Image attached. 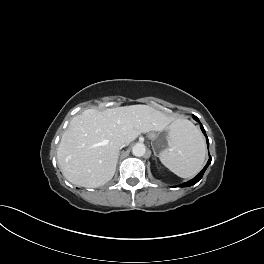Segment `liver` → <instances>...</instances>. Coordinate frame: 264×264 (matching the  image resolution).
Returning a JSON list of instances; mask_svg holds the SVG:
<instances>
[{"label": "liver", "mask_w": 264, "mask_h": 264, "mask_svg": "<svg viewBox=\"0 0 264 264\" xmlns=\"http://www.w3.org/2000/svg\"><path fill=\"white\" fill-rule=\"evenodd\" d=\"M176 121L148 105H131L103 112L85 110L73 117L57 149V160L72 184L96 188L112 179L119 142L126 145L141 133L162 131Z\"/></svg>", "instance_id": "liver-1"}]
</instances>
